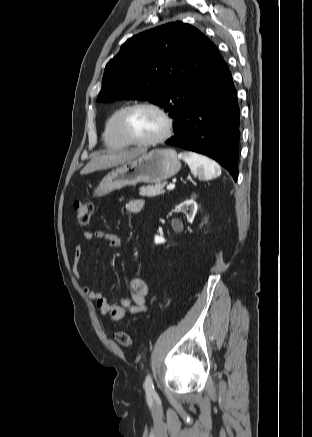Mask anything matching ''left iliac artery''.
Segmentation results:
<instances>
[{"instance_id":"1","label":"left iliac artery","mask_w":312,"mask_h":437,"mask_svg":"<svg viewBox=\"0 0 312 437\" xmlns=\"http://www.w3.org/2000/svg\"><path fill=\"white\" fill-rule=\"evenodd\" d=\"M144 386H145V391H146L147 396H152L155 394L152 378L149 374L146 376Z\"/></svg>"}]
</instances>
